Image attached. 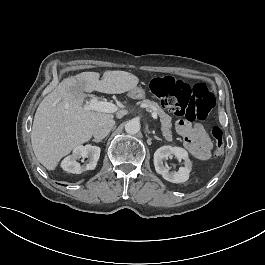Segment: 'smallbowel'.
I'll use <instances>...</instances> for the list:
<instances>
[{
  "label": "small bowel",
  "mask_w": 265,
  "mask_h": 265,
  "mask_svg": "<svg viewBox=\"0 0 265 265\" xmlns=\"http://www.w3.org/2000/svg\"><path fill=\"white\" fill-rule=\"evenodd\" d=\"M175 127L182 136L184 145L196 159L206 161L210 158L211 138L201 124L191 125L185 120H178Z\"/></svg>",
  "instance_id": "1"
}]
</instances>
